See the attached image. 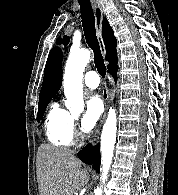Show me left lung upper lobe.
I'll return each mask as SVG.
<instances>
[{
	"mask_svg": "<svg viewBox=\"0 0 178 195\" xmlns=\"http://www.w3.org/2000/svg\"><path fill=\"white\" fill-rule=\"evenodd\" d=\"M57 44H61L63 43L64 45H67L69 43V37L68 36H64L63 39H61V37H59L56 41Z\"/></svg>",
	"mask_w": 178,
	"mask_h": 195,
	"instance_id": "5c2ea615",
	"label": "left lung upper lobe"
}]
</instances>
